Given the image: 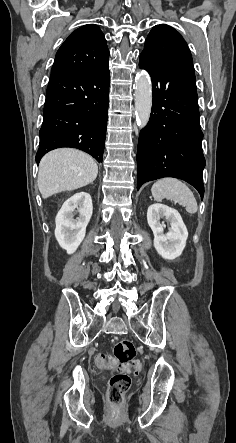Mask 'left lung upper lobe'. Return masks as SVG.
Instances as JSON below:
<instances>
[{"mask_svg":"<svg viewBox=\"0 0 236 443\" xmlns=\"http://www.w3.org/2000/svg\"><path fill=\"white\" fill-rule=\"evenodd\" d=\"M141 54L155 61L193 62L183 37L174 28L165 24L152 28Z\"/></svg>","mask_w":236,"mask_h":443,"instance_id":"1","label":"left lung upper lobe"}]
</instances>
